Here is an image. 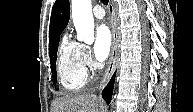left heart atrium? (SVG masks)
<instances>
[{
	"label": "left heart atrium",
	"mask_w": 193,
	"mask_h": 112,
	"mask_svg": "<svg viewBox=\"0 0 193 112\" xmlns=\"http://www.w3.org/2000/svg\"><path fill=\"white\" fill-rule=\"evenodd\" d=\"M112 38L109 28L106 25H100L95 31L94 56L98 61H104L110 52Z\"/></svg>",
	"instance_id": "left-heart-atrium-1"
}]
</instances>
